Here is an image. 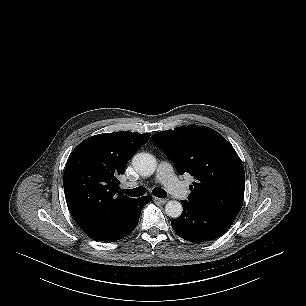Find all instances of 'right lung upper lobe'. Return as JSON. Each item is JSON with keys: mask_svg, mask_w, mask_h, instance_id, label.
<instances>
[{"mask_svg": "<svg viewBox=\"0 0 306 306\" xmlns=\"http://www.w3.org/2000/svg\"><path fill=\"white\" fill-rule=\"evenodd\" d=\"M150 135L129 131L98 134L82 141L70 154L63 177L65 198L73 218L90 237L111 228L134 200L118 193V177Z\"/></svg>", "mask_w": 306, "mask_h": 306, "instance_id": "1", "label": "right lung upper lobe"}]
</instances>
